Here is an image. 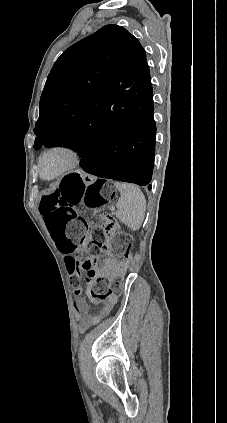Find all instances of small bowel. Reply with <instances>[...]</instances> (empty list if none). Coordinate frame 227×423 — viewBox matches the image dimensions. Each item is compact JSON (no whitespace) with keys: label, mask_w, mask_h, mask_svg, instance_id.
<instances>
[{"label":"small bowel","mask_w":227,"mask_h":423,"mask_svg":"<svg viewBox=\"0 0 227 423\" xmlns=\"http://www.w3.org/2000/svg\"><path fill=\"white\" fill-rule=\"evenodd\" d=\"M118 270V265L108 259L104 266V272L105 273H113ZM80 289L76 290V293H79ZM115 298H111L106 302L101 309L94 314L90 313L89 305L86 303L85 300L78 298L74 301V309L76 312V315L78 317H82L79 325V330L81 332L86 331L90 327L98 324L104 317H106L111 309L113 308V305L115 304Z\"/></svg>","instance_id":"1"}]
</instances>
